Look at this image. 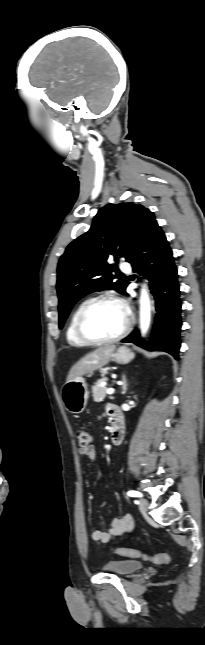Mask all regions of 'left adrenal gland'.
Here are the masks:
<instances>
[{"label":"left adrenal gland","mask_w":205,"mask_h":645,"mask_svg":"<svg viewBox=\"0 0 205 645\" xmlns=\"http://www.w3.org/2000/svg\"><path fill=\"white\" fill-rule=\"evenodd\" d=\"M127 381L125 375L123 376V383H122V393L125 394L127 391Z\"/></svg>","instance_id":"a2214340"}]
</instances>
